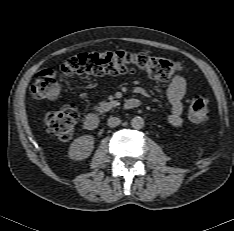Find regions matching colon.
I'll return each mask as SVG.
<instances>
[{
	"instance_id": "obj_1",
	"label": "colon",
	"mask_w": 234,
	"mask_h": 231,
	"mask_svg": "<svg viewBox=\"0 0 234 231\" xmlns=\"http://www.w3.org/2000/svg\"><path fill=\"white\" fill-rule=\"evenodd\" d=\"M182 69L181 63L145 53L127 51L84 52L67 59L61 66L66 77L118 75L129 70L146 74L148 77L168 81ZM61 93L60 84L52 71L43 70L36 75L32 94L38 99H56ZM209 110L203 97H195L188 109V118L194 124L208 120ZM79 113L75 105L48 113L43 127L61 141L70 140L75 132Z\"/></svg>"
}]
</instances>
